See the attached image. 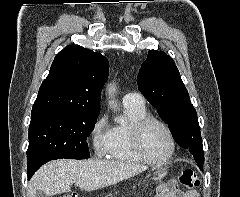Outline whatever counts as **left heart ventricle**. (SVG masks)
Instances as JSON below:
<instances>
[{
	"label": "left heart ventricle",
	"instance_id": "1",
	"mask_svg": "<svg viewBox=\"0 0 240 197\" xmlns=\"http://www.w3.org/2000/svg\"><path fill=\"white\" fill-rule=\"evenodd\" d=\"M143 144L148 155L153 159L165 158L171 150L168 134L160 125L150 124L144 131Z\"/></svg>",
	"mask_w": 240,
	"mask_h": 197
}]
</instances>
